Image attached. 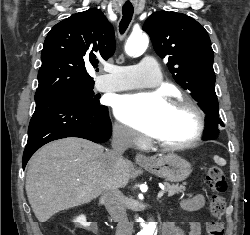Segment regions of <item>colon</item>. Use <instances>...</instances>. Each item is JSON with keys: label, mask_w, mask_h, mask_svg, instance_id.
<instances>
[{"label": "colon", "mask_w": 250, "mask_h": 235, "mask_svg": "<svg viewBox=\"0 0 250 235\" xmlns=\"http://www.w3.org/2000/svg\"><path fill=\"white\" fill-rule=\"evenodd\" d=\"M207 187L211 193L209 211L211 219L206 224L208 235H223L224 225L221 217L225 210L222 194L227 190V182L222 167L212 165L207 171Z\"/></svg>", "instance_id": "obj_1"}]
</instances>
